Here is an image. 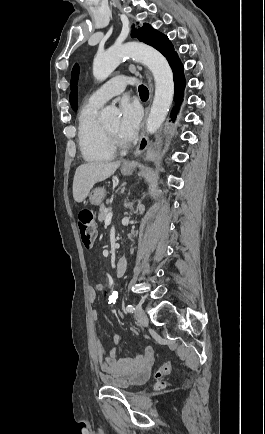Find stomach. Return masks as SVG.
I'll return each mask as SVG.
<instances>
[{
    "instance_id": "1",
    "label": "stomach",
    "mask_w": 265,
    "mask_h": 434,
    "mask_svg": "<svg viewBox=\"0 0 265 434\" xmlns=\"http://www.w3.org/2000/svg\"><path fill=\"white\" fill-rule=\"evenodd\" d=\"M134 172V166H130V168H125V166H122L121 168V174H124V176H131ZM106 196V190L104 188H95V190H92L89 194V200L90 204H93V206H100L102 204L104 198Z\"/></svg>"
}]
</instances>
